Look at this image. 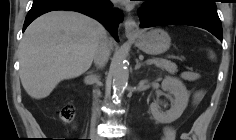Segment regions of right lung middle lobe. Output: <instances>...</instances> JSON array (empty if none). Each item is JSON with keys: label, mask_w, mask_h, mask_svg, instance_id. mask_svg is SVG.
I'll return each mask as SVG.
<instances>
[{"label": "right lung middle lobe", "mask_w": 236, "mask_h": 140, "mask_svg": "<svg viewBox=\"0 0 236 140\" xmlns=\"http://www.w3.org/2000/svg\"><path fill=\"white\" fill-rule=\"evenodd\" d=\"M96 3H100L101 2V0H94Z\"/></svg>", "instance_id": "1"}]
</instances>
